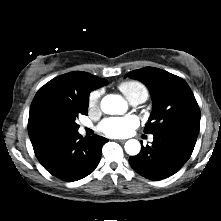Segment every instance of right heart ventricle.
<instances>
[{"mask_svg":"<svg viewBox=\"0 0 221 221\" xmlns=\"http://www.w3.org/2000/svg\"><path fill=\"white\" fill-rule=\"evenodd\" d=\"M118 88L129 101L135 98H143L146 100L148 97L147 88L138 81L131 80L122 82L118 85Z\"/></svg>","mask_w":221,"mask_h":221,"instance_id":"obj_1","label":"right heart ventricle"}]
</instances>
